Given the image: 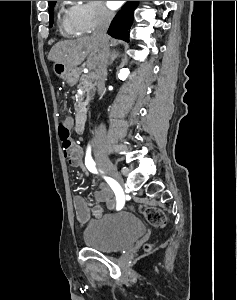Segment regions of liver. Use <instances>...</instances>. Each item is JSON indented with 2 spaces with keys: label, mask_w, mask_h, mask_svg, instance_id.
I'll list each match as a JSON object with an SVG mask.
<instances>
[{
  "label": "liver",
  "mask_w": 237,
  "mask_h": 300,
  "mask_svg": "<svg viewBox=\"0 0 237 300\" xmlns=\"http://www.w3.org/2000/svg\"><path fill=\"white\" fill-rule=\"evenodd\" d=\"M100 43L95 37H81L75 41H59L52 47L48 59L76 69L87 57V67L95 69L100 63Z\"/></svg>",
  "instance_id": "6515ba94"
}]
</instances>
